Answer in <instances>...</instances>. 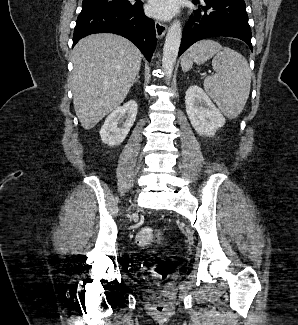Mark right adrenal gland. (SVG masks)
I'll return each mask as SVG.
<instances>
[{
	"label": "right adrenal gland",
	"mask_w": 298,
	"mask_h": 325,
	"mask_svg": "<svg viewBox=\"0 0 298 325\" xmlns=\"http://www.w3.org/2000/svg\"><path fill=\"white\" fill-rule=\"evenodd\" d=\"M139 78H140V76H139V72H138V74H137L136 78H134L131 86H133L134 82H138Z\"/></svg>",
	"instance_id": "obj_1"
}]
</instances>
